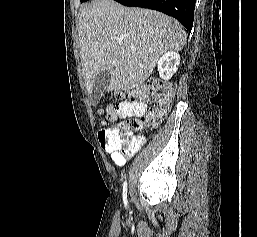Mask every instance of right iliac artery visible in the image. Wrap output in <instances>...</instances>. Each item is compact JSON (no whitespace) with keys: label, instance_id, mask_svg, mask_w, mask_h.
Masks as SVG:
<instances>
[{"label":"right iliac artery","instance_id":"right-iliac-artery-1","mask_svg":"<svg viewBox=\"0 0 257 237\" xmlns=\"http://www.w3.org/2000/svg\"><path fill=\"white\" fill-rule=\"evenodd\" d=\"M123 201L124 204L127 205L128 201H127V181L124 182L123 185Z\"/></svg>","mask_w":257,"mask_h":237}]
</instances>
